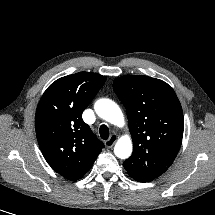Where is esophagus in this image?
<instances>
[{
  "label": "esophagus",
  "mask_w": 215,
  "mask_h": 215,
  "mask_svg": "<svg viewBox=\"0 0 215 215\" xmlns=\"http://www.w3.org/2000/svg\"><path fill=\"white\" fill-rule=\"evenodd\" d=\"M117 141V135L113 134L110 136V138L108 140L105 141V146L107 148H111L115 142Z\"/></svg>",
  "instance_id": "obj_1"
}]
</instances>
